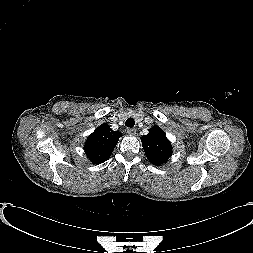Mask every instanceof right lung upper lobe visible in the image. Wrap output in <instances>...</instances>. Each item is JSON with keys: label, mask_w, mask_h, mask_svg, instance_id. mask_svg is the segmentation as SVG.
<instances>
[{"label": "right lung upper lobe", "mask_w": 253, "mask_h": 253, "mask_svg": "<svg viewBox=\"0 0 253 253\" xmlns=\"http://www.w3.org/2000/svg\"><path fill=\"white\" fill-rule=\"evenodd\" d=\"M121 136L119 131H113L109 125L103 123L87 138L84 145L87 157L94 164L105 162Z\"/></svg>", "instance_id": "right-lung-upper-lobe-1"}]
</instances>
